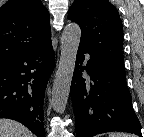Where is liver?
Masks as SVG:
<instances>
[{"label": "liver", "instance_id": "liver-1", "mask_svg": "<svg viewBox=\"0 0 144 137\" xmlns=\"http://www.w3.org/2000/svg\"><path fill=\"white\" fill-rule=\"evenodd\" d=\"M0 137H33V133L17 121L0 119Z\"/></svg>", "mask_w": 144, "mask_h": 137}]
</instances>
